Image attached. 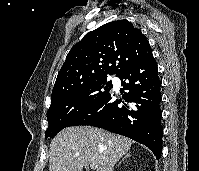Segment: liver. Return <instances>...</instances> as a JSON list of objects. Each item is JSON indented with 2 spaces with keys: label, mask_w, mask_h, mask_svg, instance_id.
Segmentation results:
<instances>
[{
  "label": "liver",
  "mask_w": 199,
  "mask_h": 171,
  "mask_svg": "<svg viewBox=\"0 0 199 171\" xmlns=\"http://www.w3.org/2000/svg\"><path fill=\"white\" fill-rule=\"evenodd\" d=\"M131 144L125 136L91 126L68 127L51 142L49 171H82L93 163L97 171H113Z\"/></svg>",
  "instance_id": "obj_1"
}]
</instances>
